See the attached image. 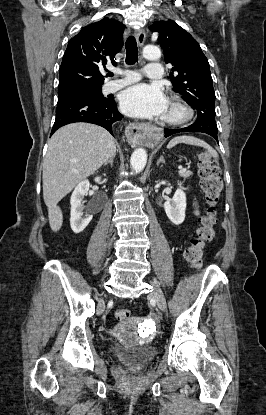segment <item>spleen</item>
<instances>
[{"label": "spleen", "instance_id": "spleen-1", "mask_svg": "<svg viewBox=\"0 0 266 415\" xmlns=\"http://www.w3.org/2000/svg\"><path fill=\"white\" fill-rule=\"evenodd\" d=\"M178 143H185V144H189V145H196V146H201L205 149L208 150V152L211 154V156H213L215 159H218V154L216 152V150H214L210 145H208L205 141L198 139L196 137H192V136H178L173 138L167 145V148H172L173 146H175Z\"/></svg>", "mask_w": 266, "mask_h": 415}]
</instances>
